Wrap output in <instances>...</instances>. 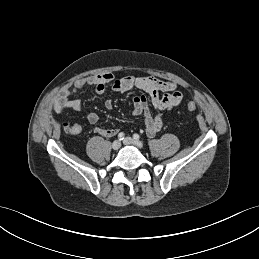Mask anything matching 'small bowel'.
Here are the masks:
<instances>
[{
  "label": "small bowel",
  "mask_w": 259,
  "mask_h": 259,
  "mask_svg": "<svg viewBox=\"0 0 259 259\" xmlns=\"http://www.w3.org/2000/svg\"><path fill=\"white\" fill-rule=\"evenodd\" d=\"M85 86L94 87L98 94L104 93L108 86L116 93H123L132 88H137L146 93L156 113L153 114L151 112L148 106V98L145 95H139L133 99L132 114L134 116H143L145 131L149 137H154L161 130L165 114L178 106L183 99L182 92L178 90L176 84L173 82L162 81L152 76L135 77L133 75H127L121 78H115L111 72H103L68 82L60 90L56 101L52 105V109L55 112L80 110L81 102L77 99H72L71 96L78 93ZM105 107L112 109V101L107 100ZM87 121L90 124H96L99 121V115L96 112H89L87 114ZM47 123L50 124L51 120L48 119ZM74 128L75 134L82 132L80 125H74ZM95 132L103 137L109 138L116 135L119 129L96 127Z\"/></svg>",
  "instance_id": "1"
}]
</instances>
